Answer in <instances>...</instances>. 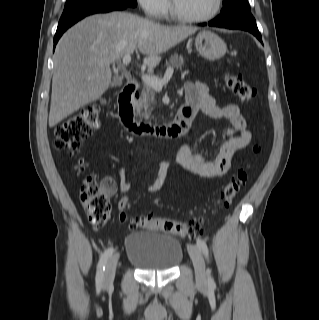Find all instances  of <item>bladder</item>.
<instances>
[{
    "label": "bladder",
    "mask_w": 319,
    "mask_h": 320,
    "mask_svg": "<svg viewBox=\"0 0 319 320\" xmlns=\"http://www.w3.org/2000/svg\"><path fill=\"white\" fill-rule=\"evenodd\" d=\"M127 261L143 271H168L183 259V247L170 234L133 232L125 239Z\"/></svg>",
    "instance_id": "obj_1"
}]
</instances>
